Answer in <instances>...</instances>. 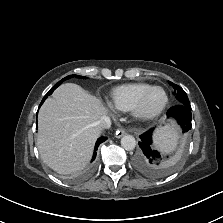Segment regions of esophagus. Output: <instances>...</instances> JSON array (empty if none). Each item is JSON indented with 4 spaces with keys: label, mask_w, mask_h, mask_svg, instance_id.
I'll return each mask as SVG.
<instances>
[{
    "label": "esophagus",
    "mask_w": 223,
    "mask_h": 223,
    "mask_svg": "<svg viewBox=\"0 0 223 223\" xmlns=\"http://www.w3.org/2000/svg\"><path fill=\"white\" fill-rule=\"evenodd\" d=\"M125 134H126V130L125 129H119V130L116 131V137L117 138H121Z\"/></svg>",
    "instance_id": "34e87169"
}]
</instances>
